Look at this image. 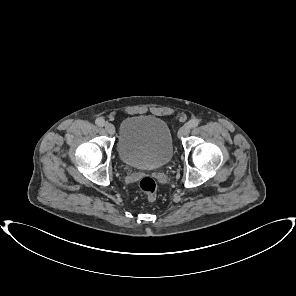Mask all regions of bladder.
Returning <instances> with one entry per match:
<instances>
[{
	"label": "bladder",
	"mask_w": 296,
	"mask_h": 296,
	"mask_svg": "<svg viewBox=\"0 0 296 296\" xmlns=\"http://www.w3.org/2000/svg\"><path fill=\"white\" fill-rule=\"evenodd\" d=\"M117 150L127 166L154 170L167 165L173 155L170 129L153 116H131L122 121Z\"/></svg>",
	"instance_id": "obj_1"
}]
</instances>
